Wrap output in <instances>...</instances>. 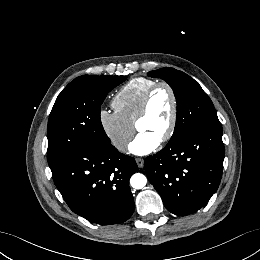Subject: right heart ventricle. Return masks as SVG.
Wrapping results in <instances>:
<instances>
[{
  "mask_svg": "<svg viewBox=\"0 0 260 260\" xmlns=\"http://www.w3.org/2000/svg\"><path fill=\"white\" fill-rule=\"evenodd\" d=\"M156 83L155 80L144 77L132 79L115 94L112 106L126 121L134 124L145 93Z\"/></svg>",
  "mask_w": 260,
  "mask_h": 260,
  "instance_id": "obj_1",
  "label": "right heart ventricle"
}]
</instances>
